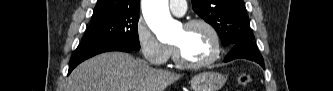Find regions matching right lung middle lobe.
<instances>
[{
	"instance_id": "dd1d6c3e",
	"label": "right lung middle lobe",
	"mask_w": 333,
	"mask_h": 91,
	"mask_svg": "<svg viewBox=\"0 0 333 91\" xmlns=\"http://www.w3.org/2000/svg\"><path fill=\"white\" fill-rule=\"evenodd\" d=\"M138 20L139 12L94 17L81 44L118 43L139 50Z\"/></svg>"
}]
</instances>
